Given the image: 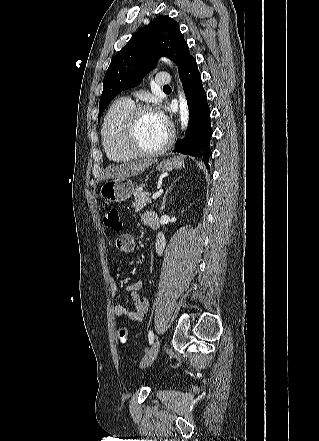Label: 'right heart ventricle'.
Wrapping results in <instances>:
<instances>
[{
    "instance_id": "obj_1",
    "label": "right heart ventricle",
    "mask_w": 319,
    "mask_h": 441,
    "mask_svg": "<svg viewBox=\"0 0 319 441\" xmlns=\"http://www.w3.org/2000/svg\"><path fill=\"white\" fill-rule=\"evenodd\" d=\"M129 98H119L109 107L101 128L102 143L108 158L114 162L128 161L134 158L123 144L122 134L125 120L134 107Z\"/></svg>"
}]
</instances>
